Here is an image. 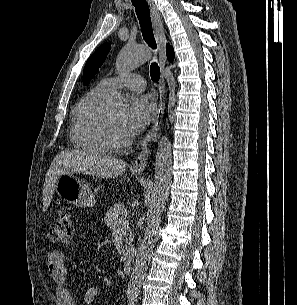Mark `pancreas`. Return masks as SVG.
<instances>
[{
    "instance_id": "1",
    "label": "pancreas",
    "mask_w": 297,
    "mask_h": 305,
    "mask_svg": "<svg viewBox=\"0 0 297 305\" xmlns=\"http://www.w3.org/2000/svg\"><path fill=\"white\" fill-rule=\"evenodd\" d=\"M127 213L125 212V207L120 204L112 205L105 214V224L112 228L113 235L120 234L124 236L128 234L127 237L123 239L124 245L122 249V258H124L128 250L131 248L132 244V229L129 227V223L126 219Z\"/></svg>"
}]
</instances>
